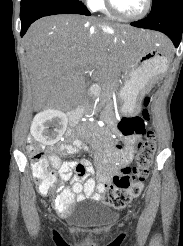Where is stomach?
I'll return each instance as SVG.
<instances>
[{
    "label": "stomach",
    "mask_w": 183,
    "mask_h": 246,
    "mask_svg": "<svg viewBox=\"0 0 183 246\" xmlns=\"http://www.w3.org/2000/svg\"><path fill=\"white\" fill-rule=\"evenodd\" d=\"M133 46L135 50L133 61L128 66L125 83L120 91L123 102L121 110L127 114L139 112L142 98L147 93L150 84L162 76L168 68L167 57L160 53L155 44L133 42Z\"/></svg>",
    "instance_id": "obj_1"
}]
</instances>
